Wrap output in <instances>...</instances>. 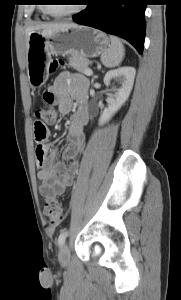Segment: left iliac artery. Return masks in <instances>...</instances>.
I'll return each instance as SVG.
<instances>
[{
	"mask_svg": "<svg viewBox=\"0 0 181 300\" xmlns=\"http://www.w3.org/2000/svg\"><path fill=\"white\" fill-rule=\"evenodd\" d=\"M66 237H67V231H62L58 237L59 246H62L65 243Z\"/></svg>",
	"mask_w": 181,
	"mask_h": 300,
	"instance_id": "obj_1",
	"label": "left iliac artery"
}]
</instances>
